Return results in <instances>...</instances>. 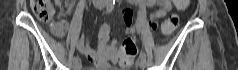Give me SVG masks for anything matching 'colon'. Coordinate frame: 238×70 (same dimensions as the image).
I'll use <instances>...</instances> for the list:
<instances>
[{
  "mask_svg": "<svg viewBox=\"0 0 238 70\" xmlns=\"http://www.w3.org/2000/svg\"><path fill=\"white\" fill-rule=\"evenodd\" d=\"M175 7H183L181 10L184 12L189 0H174ZM30 8L37 18L40 20H49L54 14L53 3L50 0H31ZM178 25V18L171 16L162 24L161 30L164 34H170ZM128 27L130 25H127ZM57 30H55L56 32ZM120 42L118 54H115V59H119L122 67H128L132 64L133 56L136 54L135 36H123Z\"/></svg>",
  "mask_w": 238,
  "mask_h": 70,
  "instance_id": "1",
  "label": "colon"
}]
</instances>
